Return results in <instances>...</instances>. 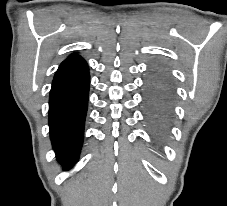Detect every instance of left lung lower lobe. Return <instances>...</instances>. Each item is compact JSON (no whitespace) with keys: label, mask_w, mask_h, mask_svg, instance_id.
Returning <instances> with one entry per match:
<instances>
[{"label":"left lung lower lobe","mask_w":227,"mask_h":206,"mask_svg":"<svg viewBox=\"0 0 227 206\" xmlns=\"http://www.w3.org/2000/svg\"><path fill=\"white\" fill-rule=\"evenodd\" d=\"M172 96L173 88L167 71L160 66L152 67L145 82L144 102L147 123L156 139L166 134Z\"/></svg>","instance_id":"0a47b994"}]
</instances>
